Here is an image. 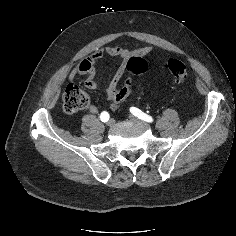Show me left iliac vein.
I'll use <instances>...</instances> for the list:
<instances>
[{
  "mask_svg": "<svg viewBox=\"0 0 236 236\" xmlns=\"http://www.w3.org/2000/svg\"><path fill=\"white\" fill-rule=\"evenodd\" d=\"M129 117H130V119H131V120H133V121H139V119H138V118H136V117H135V116H133V115H130Z\"/></svg>",
  "mask_w": 236,
  "mask_h": 236,
  "instance_id": "4c4485c4",
  "label": "left iliac vein"
}]
</instances>
